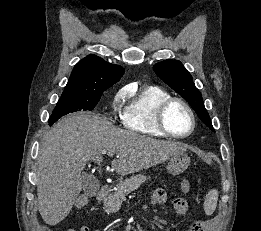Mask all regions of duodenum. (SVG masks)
Listing matches in <instances>:
<instances>
[{
    "label": "duodenum",
    "instance_id": "1",
    "mask_svg": "<svg viewBox=\"0 0 261 231\" xmlns=\"http://www.w3.org/2000/svg\"><path fill=\"white\" fill-rule=\"evenodd\" d=\"M109 192H110L109 186H107V185L102 186L97 194V197H96L97 201L98 202L103 201L107 197Z\"/></svg>",
    "mask_w": 261,
    "mask_h": 231
}]
</instances>
